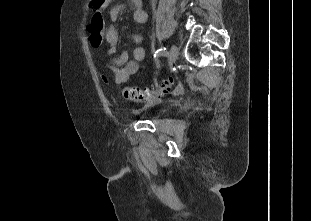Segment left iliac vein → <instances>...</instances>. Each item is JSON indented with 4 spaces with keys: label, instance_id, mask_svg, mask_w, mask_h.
Returning <instances> with one entry per match:
<instances>
[{
    "label": "left iliac vein",
    "instance_id": "left-iliac-vein-1",
    "mask_svg": "<svg viewBox=\"0 0 311 221\" xmlns=\"http://www.w3.org/2000/svg\"><path fill=\"white\" fill-rule=\"evenodd\" d=\"M178 57V48L176 45H172L168 54V66L172 67Z\"/></svg>",
    "mask_w": 311,
    "mask_h": 221
}]
</instances>
